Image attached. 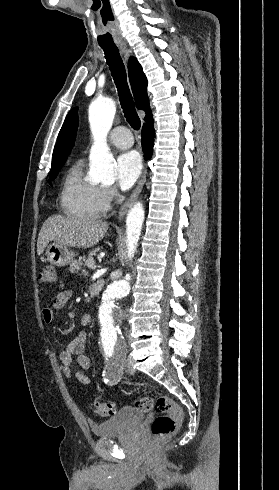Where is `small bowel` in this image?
<instances>
[{
    "label": "small bowel",
    "mask_w": 279,
    "mask_h": 490,
    "mask_svg": "<svg viewBox=\"0 0 279 490\" xmlns=\"http://www.w3.org/2000/svg\"><path fill=\"white\" fill-rule=\"evenodd\" d=\"M72 298V292L70 290H65L59 292L51 301H49L42 312V319L44 322H51L58 311H60ZM91 317L88 314H84L81 317V323L84 326L91 324ZM86 340L85 333L81 332L77 334L72 341L67 345L65 349L60 352V362L62 366L63 373L66 377H76L82 383L89 384L91 380L84 376L81 372L74 368V356H77V362L83 367L87 368L89 366L88 359L79 354Z\"/></svg>",
    "instance_id": "c3829d8e"
}]
</instances>
